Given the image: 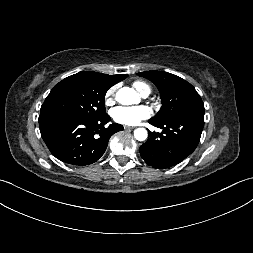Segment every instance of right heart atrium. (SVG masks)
<instances>
[{"instance_id":"d8ad5b80","label":"right heart atrium","mask_w":253,"mask_h":253,"mask_svg":"<svg viewBox=\"0 0 253 253\" xmlns=\"http://www.w3.org/2000/svg\"><path fill=\"white\" fill-rule=\"evenodd\" d=\"M116 91H117V86L115 85L107 89L104 96V101L106 105L110 106L113 104L115 100V96H116Z\"/></svg>"}]
</instances>
